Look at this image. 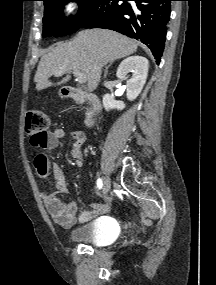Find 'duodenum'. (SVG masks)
<instances>
[{"label":"duodenum","mask_w":216,"mask_h":285,"mask_svg":"<svg viewBox=\"0 0 216 285\" xmlns=\"http://www.w3.org/2000/svg\"><path fill=\"white\" fill-rule=\"evenodd\" d=\"M63 94L65 95V97L70 98L72 100L89 103L90 110L87 116L86 123L88 126H92L97 114L100 111L99 99L93 94L86 93L74 87L64 88Z\"/></svg>","instance_id":"410a0bca"}]
</instances>
